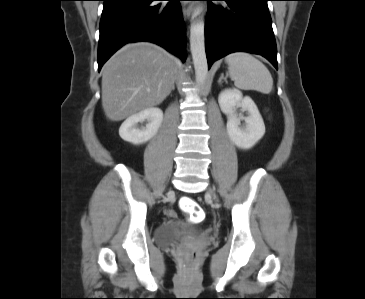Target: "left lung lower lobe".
<instances>
[{
    "instance_id": "0a47b994",
    "label": "left lung lower lobe",
    "mask_w": 365,
    "mask_h": 299,
    "mask_svg": "<svg viewBox=\"0 0 365 299\" xmlns=\"http://www.w3.org/2000/svg\"><path fill=\"white\" fill-rule=\"evenodd\" d=\"M214 1V0H206ZM209 2L205 21V48L208 66L229 53L260 54L277 66V48L268 10L269 0H215Z\"/></svg>"
}]
</instances>
